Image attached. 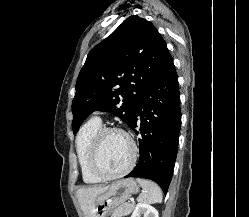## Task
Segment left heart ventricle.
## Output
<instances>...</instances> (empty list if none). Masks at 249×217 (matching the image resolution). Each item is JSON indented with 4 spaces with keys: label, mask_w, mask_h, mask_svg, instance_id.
I'll use <instances>...</instances> for the list:
<instances>
[{
    "label": "left heart ventricle",
    "mask_w": 249,
    "mask_h": 217,
    "mask_svg": "<svg viewBox=\"0 0 249 217\" xmlns=\"http://www.w3.org/2000/svg\"><path fill=\"white\" fill-rule=\"evenodd\" d=\"M131 158V147L128 140L119 133L106 134L101 142L99 165L107 173L123 170Z\"/></svg>",
    "instance_id": "b2bd125f"
}]
</instances>
